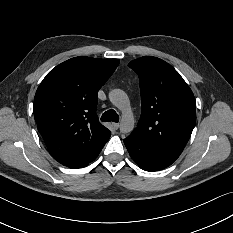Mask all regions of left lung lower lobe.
I'll return each mask as SVG.
<instances>
[{
    "label": "left lung lower lobe",
    "instance_id": "obj_1",
    "mask_svg": "<svg viewBox=\"0 0 233 233\" xmlns=\"http://www.w3.org/2000/svg\"><path fill=\"white\" fill-rule=\"evenodd\" d=\"M131 158L146 171L154 172L170 166L179 154L146 143L135 135L124 140Z\"/></svg>",
    "mask_w": 233,
    "mask_h": 233
}]
</instances>
